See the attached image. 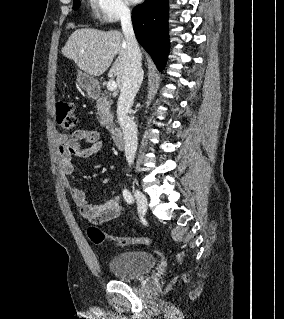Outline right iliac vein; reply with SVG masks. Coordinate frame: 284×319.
Instances as JSON below:
<instances>
[{
  "instance_id": "63e3f726",
  "label": "right iliac vein",
  "mask_w": 284,
  "mask_h": 319,
  "mask_svg": "<svg viewBox=\"0 0 284 319\" xmlns=\"http://www.w3.org/2000/svg\"><path fill=\"white\" fill-rule=\"evenodd\" d=\"M134 190V196L136 199V203H137V208H138V212L140 215H145L147 212V199L145 197V195L140 192L138 189H135L133 187Z\"/></svg>"
}]
</instances>
